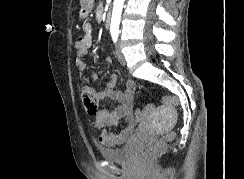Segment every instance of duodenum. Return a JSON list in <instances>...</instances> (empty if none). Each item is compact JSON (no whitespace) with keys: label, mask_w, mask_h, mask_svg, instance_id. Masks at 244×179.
Instances as JSON below:
<instances>
[{"label":"duodenum","mask_w":244,"mask_h":179,"mask_svg":"<svg viewBox=\"0 0 244 179\" xmlns=\"http://www.w3.org/2000/svg\"><path fill=\"white\" fill-rule=\"evenodd\" d=\"M110 13H106L105 15V18H104V23H105V26H108L109 23H110Z\"/></svg>","instance_id":"410a0bca"}]
</instances>
